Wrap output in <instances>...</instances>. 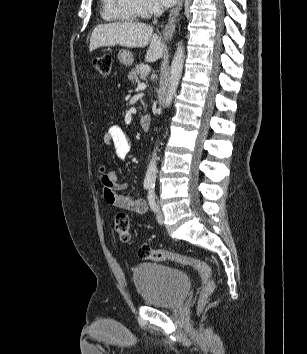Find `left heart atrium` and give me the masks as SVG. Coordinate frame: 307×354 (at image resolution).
<instances>
[{
	"label": "left heart atrium",
	"instance_id": "1",
	"mask_svg": "<svg viewBox=\"0 0 307 354\" xmlns=\"http://www.w3.org/2000/svg\"><path fill=\"white\" fill-rule=\"evenodd\" d=\"M177 0H156V2L162 7L172 6Z\"/></svg>",
	"mask_w": 307,
	"mask_h": 354
}]
</instances>
